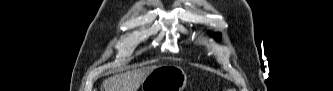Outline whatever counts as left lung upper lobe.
Listing matches in <instances>:
<instances>
[{"mask_svg": "<svg viewBox=\"0 0 333 91\" xmlns=\"http://www.w3.org/2000/svg\"><path fill=\"white\" fill-rule=\"evenodd\" d=\"M215 38H216L217 40H220V39H221V35H220V33L215 34Z\"/></svg>", "mask_w": 333, "mask_h": 91, "instance_id": "5c2ea615", "label": "left lung upper lobe"}]
</instances>
